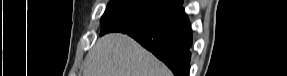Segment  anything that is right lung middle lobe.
<instances>
[{
  "instance_id": "1",
  "label": "right lung middle lobe",
  "mask_w": 287,
  "mask_h": 76,
  "mask_svg": "<svg viewBox=\"0 0 287 76\" xmlns=\"http://www.w3.org/2000/svg\"><path fill=\"white\" fill-rule=\"evenodd\" d=\"M176 6L175 0H111L101 18L100 35L141 31Z\"/></svg>"
}]
</instances>
